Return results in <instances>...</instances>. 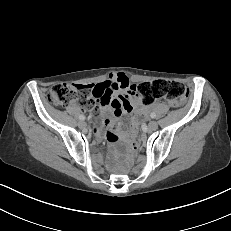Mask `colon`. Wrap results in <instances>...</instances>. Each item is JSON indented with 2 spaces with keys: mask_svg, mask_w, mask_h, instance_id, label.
Instances as JSON below:
<instances>
[{
  "mask_svg": "<svg viewBox=\"0 0 231 231\" xmlns=\"http://www.w3.org/2000/svg\"><path fill=\"white\" fill-rule=\"evenodd\" d=\"M138 92L143 106L165 98L172 106L182 105L188 97V90L179 82L168 80H152L138 86ZM47 100L54 106H64L69 103H78L91 107L93 95L91 85L58 84L47 92ZM129 147L133 155H137L140 144L135 136H130Z\"/></svg>",
  "mask_w": 231,
  "mask_h": 231,
  "instance_id": "1",
  "label": "colon"
}]
</instances>
